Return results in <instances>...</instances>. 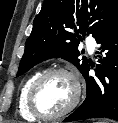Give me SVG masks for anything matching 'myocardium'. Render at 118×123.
<instances>
[{"instance_id": "f54148a6", "label": "myocardium", "mask_w": 118, "mask_h": 123, "mask_svg": "<svg viewBox=\"0 0 118 123\" xmlns=\"http://www.w3.org/2000/svg\"><path fill=\"white\" fill-rule=\"evenodd\" d=\"M55 74H64L67 75L73 82L74 85V96L72 101L70 102V104L61 112L56 113V114H46L43 113L42 111L39 110V108L36 105V95H37V91L40 88V86L42 85V83L49 78L52 75ZM81 94H82V86H81V82L79 79V76L77 75V73L75 71H73L70 68H66V67H55V68H51L48 69L46 71H44L43 73H41L36 79L35 81L32 83L29 92H28V96H27V103H28V109L29 111L38 119L41 120H57V119H61L64 116H66L67 114H69L79 103L80 99H81Z\"/></svg>"}]
</instances>
